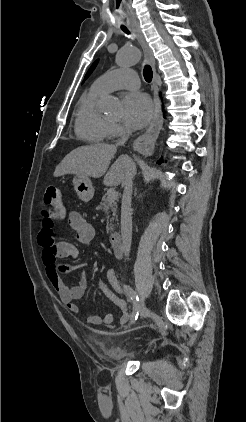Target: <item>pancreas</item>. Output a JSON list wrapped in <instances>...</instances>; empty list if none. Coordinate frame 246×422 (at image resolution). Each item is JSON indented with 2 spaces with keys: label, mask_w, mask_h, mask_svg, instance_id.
<instances>
[{
  "label": "pancreas",
  "mask_w": 246,
  "mask_h": 422,
  "mask_svg": "<svg viewBox=\"0 0 246 422\" xmlns=\"http://www.w3.org/2000/svg\"><path fill=\"white\" fill-rule=\"evenodd\" d=\"M98 210H103L106 214L107 219V226L106 231L107 233L113 231L114 226L112 222L117 219V203L115 201L111 202L108 200L107 195L102 197V201L100 205L97 207Z\"/></svg>",
  "instance_id": "pancreas-1"
}]
</instances>
